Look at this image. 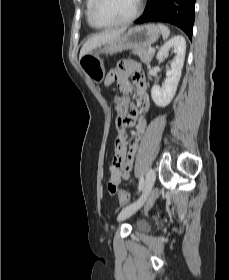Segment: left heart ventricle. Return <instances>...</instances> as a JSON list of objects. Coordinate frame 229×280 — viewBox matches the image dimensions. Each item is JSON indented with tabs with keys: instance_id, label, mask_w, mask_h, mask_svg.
Instances as JSON below:
<instances>
[{
	"instance_id": "left-heart-ventricle-1",
	"label": "left heart ventricle",
	"mask_w": 229,
	"mask_h": 280,
	"mask_svg": "<svg viewBox=\"0 0 229 280\" xmlns=\"http://www.w3.org/2000/svg\"><path fill=\"white\" fill-rule=\"evenodd\" d=\"M138 0H101L96 19L100 23H110L129 17L136 9Z\"/></svg>"
}]
</instances>
